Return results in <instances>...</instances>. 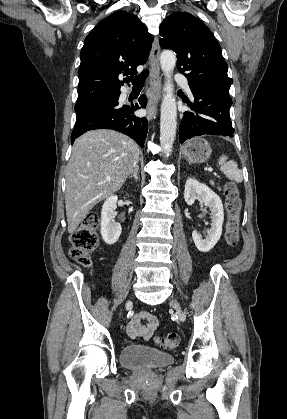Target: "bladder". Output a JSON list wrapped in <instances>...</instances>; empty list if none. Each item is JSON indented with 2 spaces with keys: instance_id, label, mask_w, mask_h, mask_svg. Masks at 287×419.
Masks as SVG:
<instances>
[{
  "instance_id": "1",
  "label": "bladder",
  "mask_w": 287,
  "mask_h": 419,
  "mask_svg": "<svg viewBox=\"0 0 287 419\" xmlns=\"http://www.w3.org/2000/svg\"><path fill=\"white\" fill-rule=\"evenodd\" d=\"M120 360L130 369L156 370L172 364L174 357L154 348L132 345L123 348Z\"/></svg>"
}]
</instances>
